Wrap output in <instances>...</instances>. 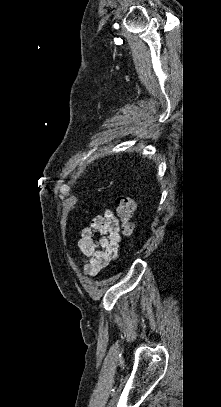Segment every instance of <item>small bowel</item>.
Returning a JSON list of instances; mask_svg holds the SVG:
<instances>
[{
    "mask_svg": "<svg viewBox=\"0 0 221 407\" xmlns=\"http://www.w3.org/2000/svg\"><path fill=\"white\" fill-rule=\"evenodd\" d=\"M119 241L118 218L106 209L85 226L75 240L85 274L95 276L106 267L116 257Z\"/></svg>",
    "mask_w": 221,
    "mask_h": 407,
    "instance_id": "1",
    "label": "small bowel"
}]
</instances>
